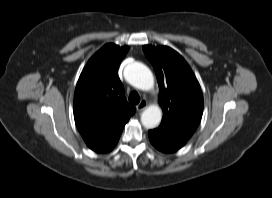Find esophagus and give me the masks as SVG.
Listing matches in <instances>:
<instances>
[{"label": "esophagus", "mask_w": 272, "mask_h": 198, "mask_svg": "<svg viewBox=\"0 0 272 198\" xmlns=\"http://www.w3.org/2000/svg\"><path fill=\"white\" fill-rule=\"evenodd\" d=\"M148 103L146 100H141L140 103L136 106L137 111H142L147 107Z\"/></svg>", "instance_id": "obj_1"}]
</instances>
